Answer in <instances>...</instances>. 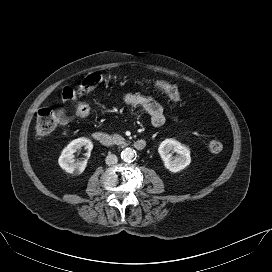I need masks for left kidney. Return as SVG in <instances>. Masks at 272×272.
Returning <instances> with one entry per match:
<instances>
[{"label": "left kidney", "instance_id": "1", "mask_svg": "<svg viewBox=\"0 0 272 272\" xmlns=\"http://www.w3.org/2000/svg\"><path fill=\"white\" fill-rule=\"evenodd\" d=\"M158 152L166 169L173 173L185 169L191 162L189 148L174 139H165L161 142ZM174 152L178 154L176 157L172 155Z\"/></svg>", "mask_w": 272, "mask_h": 272}]
</instances>
